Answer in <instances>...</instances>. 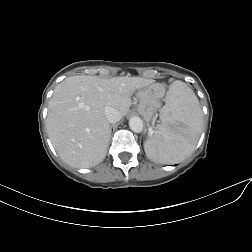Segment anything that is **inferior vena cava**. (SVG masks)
<instances>
[{
	"instance_id": "inferior-vena-cava-1",
	"label": "inferior vena cava",
	"mask_w": 252,
	"mask_h": 252,
	"mask_svg": "<svg viewBox=\"0 0 252 252\" xmlns=\"http://www.w3.org/2000/svg\"><path fill=\"white\" fill-rule=\"evenodd\" d=\"M104 113L109 123H116L122 118L121 113L110 106L104 108Z\"/></svg>"
}]
</instances>
